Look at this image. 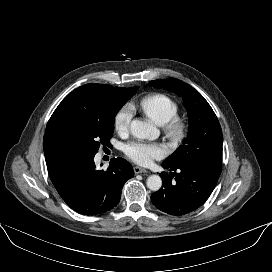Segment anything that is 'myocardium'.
<instances>
[{
	"instance_id": "myocardium-1",
	"label": "myocardium",
	"mask_w": 272,
	"mask_h": 272,
	"mask_svg": "<svg viewBox=\"0 0 272 272\" xmlns=\"http://www.w3.org/2000/svg\"><path fill=\"white\" fill-rule=\"evenodd\" d=\"M162 126L165 137L172 143H179L186 136L187 125L180 117L174 116Z\"/></svg>"
}]
</instances>
